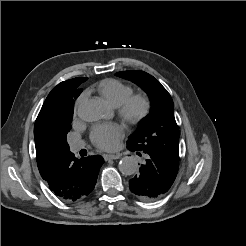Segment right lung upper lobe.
Wrapping results in <instances>:
<instances>
[{"label":"right lung upper lobe","mask_w":246,"mask_h":246,"mask_svg":"<svg viewBox=\"0 0 246 246\" xmlns=\"http://www.w3.org/2000/svg\"><path fill=\"white\" fill-rule=\"evenodd\" d=\"M87 78L78 77L59 83L49 93L34 126L37 166L42 178L65 156L69 145L58 136L57 121L62 111L81 93L80 85Z\"/></svg>","instance_id":"right-lung-upper-lobe-1"}]
</instances>
